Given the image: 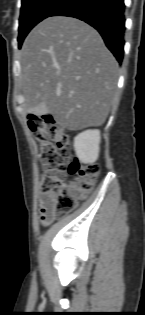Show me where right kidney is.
I'll return each instance as SVG.
<instances>
[{"label":"right kidney","mask_w":145,"mask_h":315,"mask_svg":"<svg viewBox=\"0 0 145 315\" xmlns=\"http://www.w3.org/2000/svg\"><path fill=\"white\" fill-rule=\"evenodd\" d=\"M100 131L86 130L74 138V149L78 159L85 163H94L99 156Z\"/></svg>","instance_id":"1"}]
</instances>
